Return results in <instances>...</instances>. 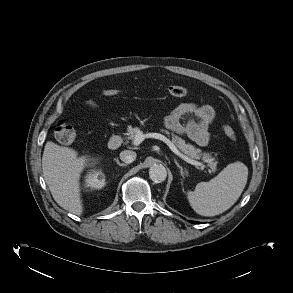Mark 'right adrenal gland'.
<instances>
[{
    "label": "right adrenal gland",
    "mask_w": 293,
    "mask_h": 293,
    "mask_svg": "<svg viewBox=\"0 0 293 293\" xmlns=\"http://www.w3.org/2000/svg\"><path fill=\"white\" fill-rule=\"evenodd\" d=\"M114 161L121 167L127 166V164H125V163H120V161L118 159H114Z\"/></svg>",
    "instance_id": "right-adrenal-gland-1"
}]
</instances>
